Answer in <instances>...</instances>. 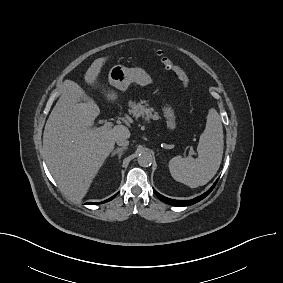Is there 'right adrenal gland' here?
I'll return each mask as SVG.
<instances>
[{
  "label": "right adrenal gland",
  "instance_id": "obj_1",
  "mask_svg": "<svg viewBox=\"0 0 283 283\" xmlns=\"http://www.w3.org/2000/svg\"><path fill=\"white\" fill-rule=\"evenodd\" d=\"M127 147H122V148H117L116 150H114L112 153H111V157L115 156L116 154H118V157L119 159L121 158L122 154H123V151L126 150Z\"/></svg>",
  "mask_w": 283,
  "mask_h": 283
}]
</instances>
